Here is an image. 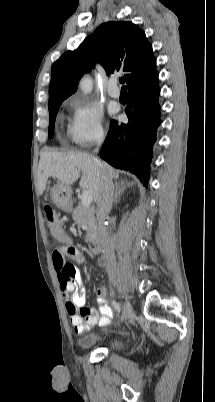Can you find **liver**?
I'll return each instance as SVG.
<instances>
[{
	"instance_id": "obj_1",
	"label": "liver",
	"mask_w": 215,
	"mask_h": 402,
	"mask_svg": "<svg viewBox=\"0 0 215 402\" xmlns=\"http://www.w3.org/2000/svg\"><path fill=\"white\" fill-rule=\"evenodd\" d=\"M101 169L108 173L111 180L119 178L118 172L112 166L88 153L45 151L40 156L38 166V193L43 194L49 177L69 186L82 172L80 187L88 190L92 199L97 201Z\"/></svg>"
}]
</instances>
